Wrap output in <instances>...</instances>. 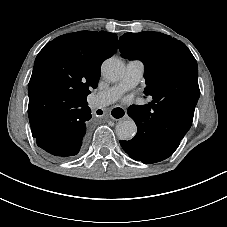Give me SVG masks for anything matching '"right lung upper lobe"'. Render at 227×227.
<instances>
[{
	"instance_id": "1",
	"label": "right lung upper lobe",
	"mask_w": 227,
	"mask_h": 227,
	"mask_svg": "<svg viewBox=\"0 0 227 227\" xmlns=\"http://www.w3.org/2000/svg\"><path fill=\"white\" fill-rule=\"evenodd\" d=\"M117 51V35L79 31L55 38L36 57L28 85L30 125L47 130L66 123L100 78L102 62Z\"/></svg>"
}]
</instances>
